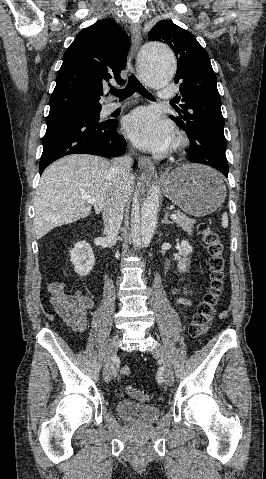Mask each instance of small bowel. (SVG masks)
I'll use <instances>...</instances> for the list:
<instances>
[{
	"label": "small bowel",
	"instance_id": "small-bowel-1",
	"mask_svg": "<svg viewBox=\"0 0 266 479\" xmlns=\"http://www.w3.org/2000/svg\"><path fill=\"white\" fill-rule=\"evenodd\" d=\"M50 303L56 313L62 317L74 331L84 332L89 323V313L94 307V301L77 290L73 294L65 292L61 283L52 282L48 285ZM176 304L187 307L189 305V290L174 289Z\"/></svg>",
	"mask_w": 266,
	"mask_h": 479
}]
</instances>
